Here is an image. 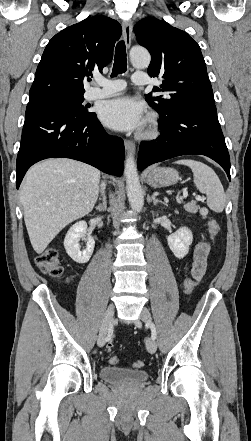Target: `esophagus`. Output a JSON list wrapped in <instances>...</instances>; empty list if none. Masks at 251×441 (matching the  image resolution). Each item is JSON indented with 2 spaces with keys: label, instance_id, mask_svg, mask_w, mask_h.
I'll return each instance as SVG.
<instances>
[{
  "label": "esophagus",
  "instance_id": "obj_1",
  "mask_svg": "<svg viewBox=\"0 0 251 441\" xmlns=\"http://www.w3.org/2000/svg\"><path fill=\"white\" fill-rule=\"evenodd\" d=\"M122 28L125 44L127 48H129L132 40V22L125 21L122 25ZM124 145L128 152L133 153L135 151V144L132 141L125 139Z\"/></svg>",
  "mask_w": 251,
  "mask_h": 441
}]
</instances>
